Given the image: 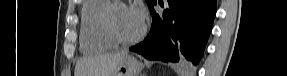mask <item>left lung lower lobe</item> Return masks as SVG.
<instances>
[{"label": "left lung lower lobe", "mask_w": 287, "mask_h": 76, "mask_svg": "<svg viewBox=\"0 0 287 76\" xmlns=\"http://www.w3.org/2000/svg\"><path fill=\"white\" fill-rule=\"evenodd\" d=\"M170 9L159 16L153 6L149 34L129 48L149 60L180 63L193 68L202 58L213 20L216 0H168Z\"/></svg>", "instance_id": "left-lung-lower-lobe-1"}]
</instances>
